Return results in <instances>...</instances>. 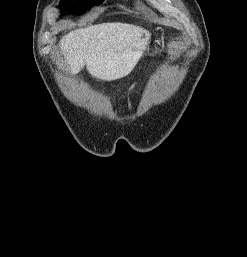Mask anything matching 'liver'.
Here are the masks:
<instances>
[{"instance_id": "6515ba94", "label": "liver", "mask_w": 247, "mask_h": 257, "mask_svg": "<svg viewBox=\"0 0 247 257\" xmlns=\"http://www.w3.org/2000/svg\"><path fill=\"white\" fill-rule=\"evenodd\" d=\"M149 38L135 25L102 23L68 33L59 45L72 74L86 65L93 77L113 81L133 70Z\"/></svg>"}]
</instances>
